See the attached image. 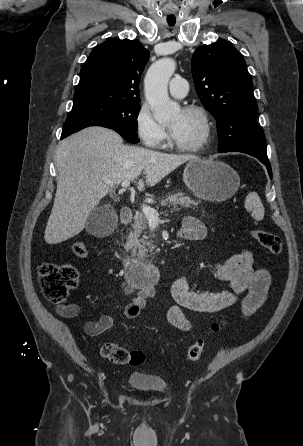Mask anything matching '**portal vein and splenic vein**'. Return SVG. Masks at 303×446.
Listing matches in <instances>:
<instances>
[{"label":"portal vein and splenic vein","instance_id":"1","mask_svg":"<svg viewBox=\"0 0 303 446\" xmlns=\"http://www.w3.org/2000/svg\"><path fill=\"white\" fill-rule=\"evenodd\" d=\"M129 185H130V181H128V180L123 181L121 184V186L123 188H127ZM142 211H143L148 222L153 223V224H157L159 222V213L155 209H153L147 205H143Z\"/></svg>","mask_w":303,"mask_h":446}]
</instances>
